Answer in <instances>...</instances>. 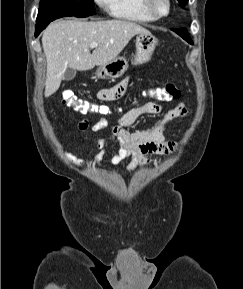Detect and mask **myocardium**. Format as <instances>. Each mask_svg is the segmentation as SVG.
<instances>
[{
    "instance_id": "1",
    "label": "myocardium",
    "mask_w": 243,
    "mask_h": 289,
    "mask_svg": "<svg viewBox=\"0 0 243 289\" xmlns=\"http://www.w3.org/2000/svg\"><path fill=\"white\" fill-rule=\"evenodd\" d=\"M166 2L167 5V10L165 13H158L155 9V5H154V0H142V5L144 10L153 18L155 19H160V18H164L166 16L169 15V13L171 12V8H172V3L171 0H164Z\"/></svg>"
}]
</instances>
